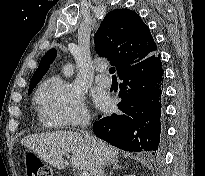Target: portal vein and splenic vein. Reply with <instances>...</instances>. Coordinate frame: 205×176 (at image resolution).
Returning a JSON list of instances; mask_svg holds the SVG:
<instances>
[{"mask_svg":"<svg viewBox=\"0 0 205 176\" xmlns=\"http://www.w3.org/2000/svg\"><path fill=\"white\" fill-rule=\"evenodd\" d=\"M81 176H90V175H89V173H88V172L83 171V172L81 173Z\"/></svg>","mask_w":205,"mask_h":176,"instance_id":"obj_1","label":"portal vein and splenic vein"}]
</instances>
